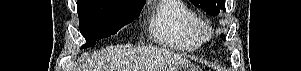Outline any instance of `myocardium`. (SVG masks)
Returning a JSON list of instances; mask_svg holds the SVG:
<instances>
[{
  "mask_svg": "<svg viewBox=\"0 0 301 71\" xmlns=\"http://www.w3.org/2000/svg\"><path fill=\"white\" fill-rule=\"evenodd\" d=\"M194 32L196 37L198 38V40L200 42H206L208 40L211 39L212 37V29L209 26L208 23H206L205 21L201 20V19H197L194 22Z\"/></svg>",
  "mask_w": 301,
  "mask_h": 71,
  "instance_id": "1",
  "label": "myocardium"
}]
</instances>
